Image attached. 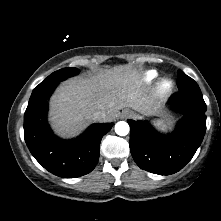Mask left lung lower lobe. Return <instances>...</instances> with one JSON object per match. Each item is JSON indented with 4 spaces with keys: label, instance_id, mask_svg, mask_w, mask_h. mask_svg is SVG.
Instances as JSON below:
<instances>
[{
    "label": "left lung lower lobe",
    "instance_id": "left-lung-lower-lobe-1",
    "mask_svg": "<svg viewBox=\"0 0 221 221\" xmlns=\"http://www.w3.org/2000/svg\"><path fill=\"white\" fill-rule=\"evenodd\" d=\"M168 105L183 117L170 134H161L148 121L128 120L130 151L143 170L159 175L174 174L194 156L206 131V104L201 91H178Z\"/></svg>",
    "mask_w": 221,
    "mask_h": 221
}]
</instances>
